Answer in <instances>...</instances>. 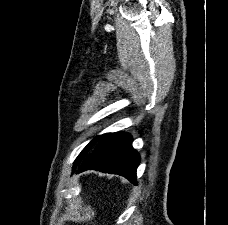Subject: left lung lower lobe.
<instances>
[{
  "instance_id": "1",
  "label": "left lung lower lobe",
  "mask_w": 228,
  "mask_h": 225,
  "mask_svg": "<svg viewBox=\"0 0 228 225\" xmlns=\"http://www.w3.org/2000/svg\"><path fill=\"white\" fill-rule=\"evenodd\" d=\"M131 143L132 137L127 133L102 135L91 153L83 159L77 173L93 169L119 174L136 184V169L140 163V156L132 148Z\"/></svg>"
}]
</instances>
